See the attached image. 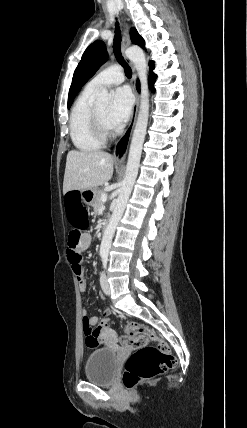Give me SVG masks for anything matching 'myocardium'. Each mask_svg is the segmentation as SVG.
<instances>
[{"label":"myocardium","mask_w":247,"mask_h":428,"mask_svg":"<svg viewBox=\"0 0 247 428\" xmlns=\"http://www.w3.org/2000/svg\"><path fill=\"white\" fill-rule=\"evenodd\" d=\"M90 123H91V127H92L94 134L102 142L107 141L108 139H110L113 136V132L111 131V129L106 128L102 124V122L99 118V115L97 113L96 107L92 108Z\"/></svg>","instance_id":"myocardium-1"}]
</instances>
